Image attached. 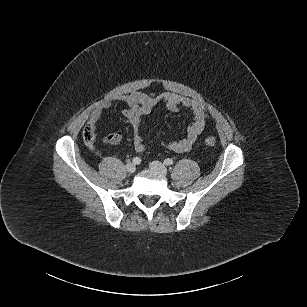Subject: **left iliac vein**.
<instances>
[{
  "label": "left iliac vein",
  "mask_w": 307,
  "mask_h": 307,
  "mask_svg": "<svg viewBox=\"0 0 307 307\" xmlns=\"http://www.w3.org/2000/svg\"><path fill=\"white\" fill-rule=\"evenodd\" d=\"M152 170H155L159 173H161L162 175H167V168L164 164H162L159 161H153L150 163L149 166Z\"/></svg>",
  "instance_id": "left-iliac-vein-1"
}]
</instances>
